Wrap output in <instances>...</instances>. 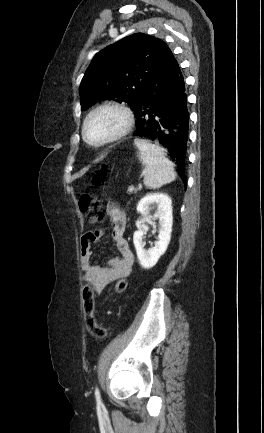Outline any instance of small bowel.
<instances>
[{
  "label": "small bowel",
  "mask_w": 264,
  "mask_h": 433,
  "mask_svg": "<svg viewBox=\"0 0 264 433\" xmlns=\"http://www.w3.org/2000/svg\"><path fill=\"white\" fill-rule=\"evenodd\" d=\"M106 213L110 220L111 236L119 256L109 260L108 266L94 265L92 263L91 245L102 235L103 231L101 229L88 232L80 241L81 267L84 272V280L91 284L97 293H101L109 283L128 277L134 264V254L124 237L125 214L113 202L107 204Z\"/></svg>",
  "instance_id": "1"
}]
</instances>
